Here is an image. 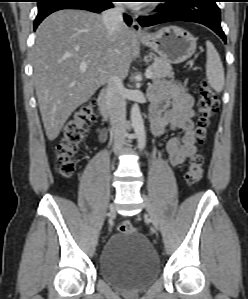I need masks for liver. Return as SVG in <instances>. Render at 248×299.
I'll return each instance as SVG.
<instances>
[{
  "mask_svg": "<svg viewBox=\"0 0 248 299\" xmlns=\"http://www.w3.org/2000/svg\"><path fill=\"white\" fill-rule=\"evenodd\" d=\"M135 49L131 29L123 23L110 36L96 13L65 9L40 24L32 61L39 109L50 141L110 75H127ZM83 61L85 69L80 68Z\"/></svg>",
  "mask_w": 248,
  "mask_h": 299,
  "instance_id": "liver-1",
  "label": "liver"
}]
</instances>
